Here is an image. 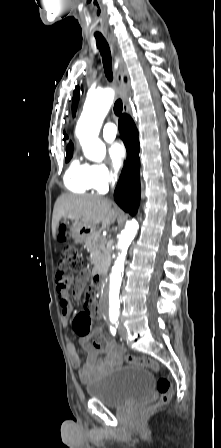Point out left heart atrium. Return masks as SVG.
<instances>
[{"mask_svg":"<svg viewBox=\"0 0 221 448\" xmlns=\"http://www.w3.org/2000/svg\"><path fill=\"white\" fill-rule=\"evenodd\" d=\"M126 149L125 146L120 142H114L109 147V157L112 165L115 169H119L125 159Z\"/></svg>","mask_w":221,"mask_h":448,"instance_id":"obj_1","label":"left heart atrium"}]
</instances>
